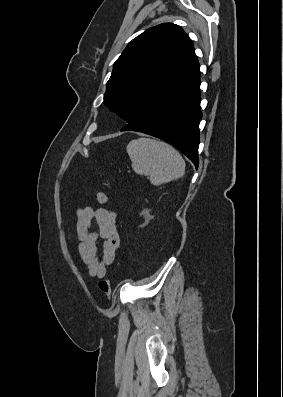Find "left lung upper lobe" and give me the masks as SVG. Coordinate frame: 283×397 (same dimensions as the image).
Masks as SVG:
<instances>
[{
	"label": "left lung upper lobe",
	"mask_w": 283,
	"mask_h": 397,
	"mask_svg": "<svg viewBox=\"0 0 283 397\" xmlns=\"http://www.w3.org/2000/svg\"><path fill=\"white\" fill-rule=\"evenodd\" d=\"M199 72L193 43L183 29L172 23L154 26L129 42L114 63L104 104L129 124Z\"/></svg>",
	"instance_id": "1"
}]
</instances>
